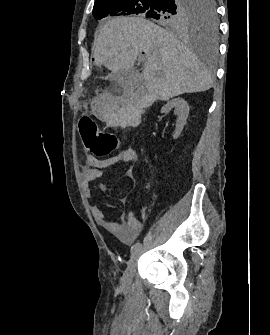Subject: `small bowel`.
Segmentation results:
<instances>
[{
  "instance_id": "obj_1",
  "label": "small bowel",
  "mask_w": 270,
  "mask_h": 335,
  "mask_svg": "<svg viewBox=\"0 0 270 335\" xmlns=\"http://www.w3.org/2000/svg\"><path fill=\"white\" fill-rule=\"evenodd\" d=\"M137 159V153L135 149L129 147L126 148L114 156L106 159H97L92 155H86L84 158V164L81 169V180L83 185L88 189L89 185L100 178L103 173V169L112 165L124 162H133ZM126 176L132 179L134 176V169L128 168ZM104 189V188H103ZM120 202L127 207V210L122 216V222L116 223L109 220L103 210L98 206L92 205L91 212L95 220L110 234L115 236L121 242L125 244L132 243L141 233L143 229V223L138 220L132 210V202L129 195H123L120 197Z\"/></svg>"
}]
</instances>
